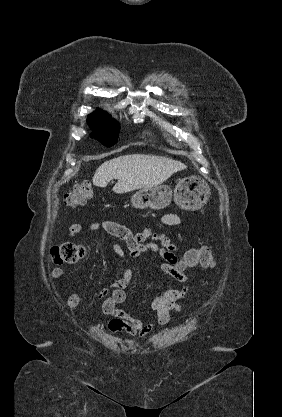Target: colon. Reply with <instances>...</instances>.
Returning a JSON list of instances; mask_svg holds the SVG:
<instances>
[{
  "label": "colon",
  "instance_id": "colon-1",
  "mask_svg": "<svg viewBox=\"0 0 282 417\" xmlns=\"http://www.w3.org/2000/svg\"><path fill=\"white\" fill-rule=\"evenodd\" d=\"M93 192L88 183L75 185L65 200L70 206H77L85 203ZM85 254V249L73 242L64 241L55 245L50 253V260L53 264L73 265L77 264ZM182 266H165L172 274L180 276L188 269L199 265L203 268H211L215 265L216 257L214 252L203 246L188 250L183 256Z\"/></svg>",
  "mask_w": 282,
  "mask_h": 417
}]
</instances>
